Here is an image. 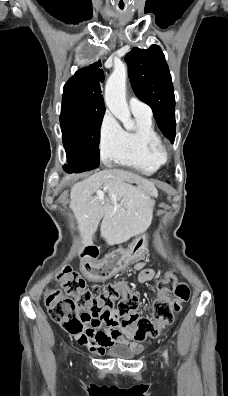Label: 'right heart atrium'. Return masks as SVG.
<instances>
[{
  "mask_svg": "<svg viewBox=\"0 0 228 396\" xmlns=\"http://www.w3.org/2000/svg\"><path fill=\"white\" fill-rule=\"evenodd\" d=\"M124 131L112 114L106 111L99 126V148L105 162L114 161L123 141Z\"/></svg>",
  "mask_w": 228,
  "mask_h": 396,
  "instance_id": "d8ad5b80",
  "label": "right heart atrium"
}]
</instances>
